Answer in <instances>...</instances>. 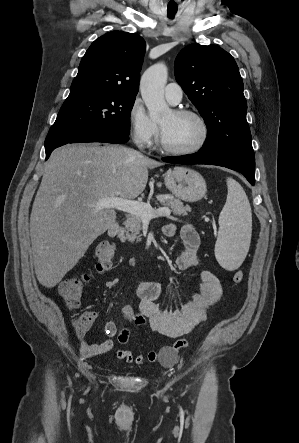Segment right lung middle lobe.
I'll use <instances>...</instances> for the list:
<instances>
[{"label": "right lung middle lobe", "mask_w": 299, "mask_h": 443, "mask_svg": "<svg viewBox=\"0 0 299 443\" xmlns=\"http://www.w3.org/2000/svg\"><path fill=\"white\" fill-rule=\"evenodd\" d=\"M136 96L95 89H71L48 134L116 129L127 135Z\"/></svg>", "instance_id": "obj_1"}]
</instances>
